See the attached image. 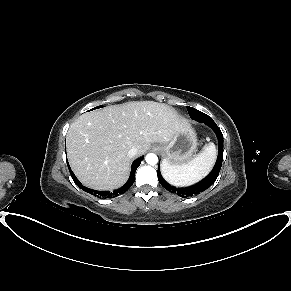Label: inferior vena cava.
Masks as SVG:
<instances>
[{
	"label": "inferior vena cava",
	"instance_id": "602c4592",
	"mask_svg": "<svg viewBox=\"0 0 291 291\" xmlns=\"http://www.w3.org/2000/svg\"><path fill=\"white\" fill-rule=\"evenodd\" d=\"M137 148L136 147H132L128 153H127V156L130 157V158H133L137 155Z\"/></svg>",
	"mask_w": 291,
	"mask_h": 291
}]
</instances>
